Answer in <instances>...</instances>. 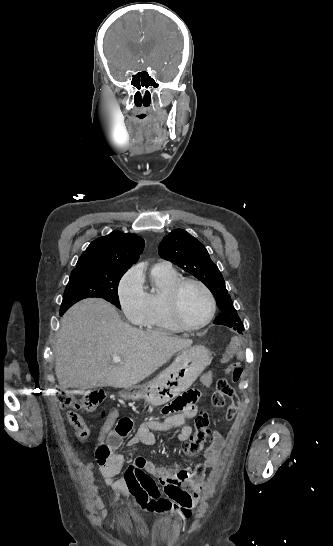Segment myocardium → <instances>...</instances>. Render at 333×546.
<instances>
[{
    "instance_id": "1",
    "label": "myocardium",
    "mask_w": 333,
    "mask_h": 546,
    "mask_svg": "<svg viewBox=\"0 0 333 546\" xmlns=\"http://www.w3.org/2000/svg\"><path fill=\"white\" fill-rule=\"evenodd\" d=\"M187 284H195L199 286L205 292L209 300V306H210L209 314L206 317V319L198 325L188 324L184 320L181 314V310L179 306V297H180L181 290ZM166 306L172 321L181 330H184V331H198L205 328L212 322L217 310L216 299L211 289L203 281L196 278H192V277H182L173 284V286L171 287L167 295Z\"/></svg>"
}]
</instances>
